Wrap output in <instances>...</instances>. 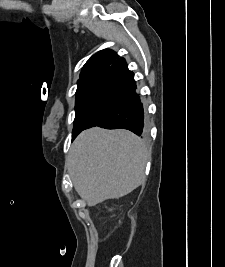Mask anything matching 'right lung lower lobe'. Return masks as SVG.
Masks as SVG:
<instances>
[{"instance_id": "1", "label": "right lung lower lobe", "mask_w": 225, "mask_h": 267, "mask_svg": "<svg viewBox=\"0 0 225 267\" xmlns=\"http://www.w3.org/2000/svg\"><path fill=\"white\" fill-rule=\"evenodd\" d=\"M136 88L134 73L124 58H117L89 88L74 121L73 139L91 127L144 135V109Z\"/></svg>"}]
</instances>
